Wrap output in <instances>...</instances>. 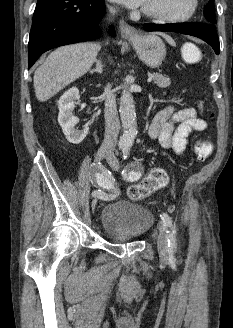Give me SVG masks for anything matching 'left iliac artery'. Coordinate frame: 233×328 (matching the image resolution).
<instances>
[{
	"label": "left iliac artery",
	"mask_w": 233,
	"mask_h": 328,
	"mask_svg": "<svg viewBox=\"0 0 233 328\" xmlns=\"http://www.w3.org/2000/svg\"><path fill=\"white\" fill-rule=\"evenodd\" d=\"M130 148L128 146L122 147L123 151V158L126 159L128 157ZM123 177L127 178L128 181H136L140 178L141 174L136 171H130L128 174L126 172H122ZM163 224L166 228L167 237H168V246L170 250H175L177 248V241H176V230L172 223V220L168 214H161L160 215Z\"/></svg>",
	"instance_id": "44dca946"
}]
</instances>
